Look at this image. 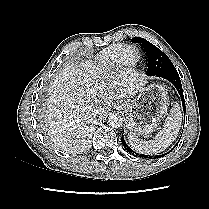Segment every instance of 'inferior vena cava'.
<instances>
[{
	"instance_id": "inferior-vena-cava-1",
	"label": "inferior vena cava",
	"mask_w": 209,
	"mask_h": 209,
	"mask_svg": "<svg viewBox=\"0 0 209 209\" xmlns=\"http://www.w3.org/2000/svg\"><path fill=\"white\" fill-rule=\"evenodd\" d=\"M102 115V110L100 108H96L94 110V117H99Z\"/></svg>"
}]
</instances>
